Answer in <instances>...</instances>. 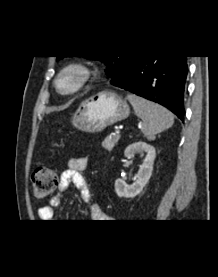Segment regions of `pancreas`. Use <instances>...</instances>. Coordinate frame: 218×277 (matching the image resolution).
<instances>
[{"label":"pancreas","mask_w":218,"mask_h":277,"mask_svg":"<svg viewBox=\"0 0 218 277\" xmlns=\"http://www.w3.org/2000/svg\"><path fill=\"white\" fill-rule=\"evenodd\" d=\"M120 135H115V136H108L105 138V140L102 142V147L105 150H111L119 141Z\"/></svg>","instance_id":"1"}]
</instances>
